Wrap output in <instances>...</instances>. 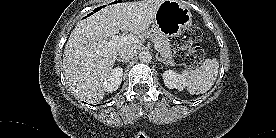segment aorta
Masks as SVG:
<instances>
[{
    "label": "aorta",
    "instance_id": "aorta-1",
    "mask_svg": "<svg viewBox=\"0 0 276 138\" xmlns=\"http://www.w3.org/2000/svg\"><path fill=\"white\" fill-rule=\"evenodd\" d=\"M152 59L151 53L149 51H142L139 53V60L143 63H148Z\"/></svg>",
    "mask_w": 276,
    "mask_h": 138
}]
</instances>
